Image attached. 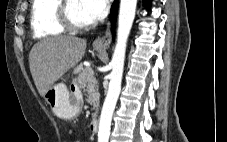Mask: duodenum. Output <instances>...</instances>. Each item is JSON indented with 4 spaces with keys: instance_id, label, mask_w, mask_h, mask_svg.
<instances>
[{
    "instance_id": "1",
    "label": "duodenum",
    "mask_w": 227,
    "mask_h": 142,
    "mask_svg": "<svg viewBox=\"0 0 227 142\" xmlns=\"http://www.w3.org/2000/svg\"><path fill=\"white\" fill-rule=\"evenodd\" d=\"M98 129H99V119L94 118L90 123V131L95 134L98 132Z\"/></svg>"
}]
</instances>
